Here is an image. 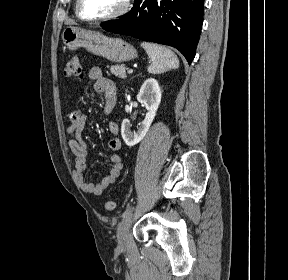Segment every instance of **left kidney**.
Masks as SVG:
<instances>
[{
  "label": "left kidney",
  "mask_w": 288,
  "mask_h": 280,
  "mask_svg": "<svg viewBox=\"0 0 288 280\" xmlns=\"http://www.w3.org/2000/svg\"><path fill=\"white\" fill-rule=\"evenodd\" d=\"M161 89L158 81L153 78L147 79L140 88L137 100L146 108L145 119L139 124L137 131L131 130L128 119H124L121 124V135L128 146L138 144L147 134L156 116V112L161 102Z\"/></svg>",
  "instance_id": "obj_1"
}]
</instances>
